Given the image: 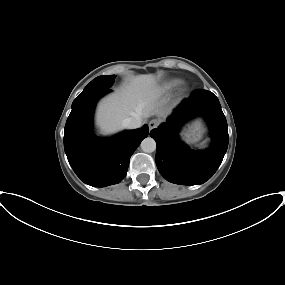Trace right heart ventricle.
<instances>
[{"label":"right heart ventricle","instance_id":"right-heart-ventricle-1","mask_svg":"<svg viewBox=\"0 0 285 285\" xmlns=\"http://www.w3.org/2000/svg\"><path fill=\"white\" fill-rule=\"evenodd\" d=\"M180 83L179 80L177 79H174V80H171L167 83H165L163 85V87L161 88V91L162 92H168V91H171L172 89H174L176 86H178V84Z\"/></svg>","mask_w":285,"mask_h":285}]
</instances>
